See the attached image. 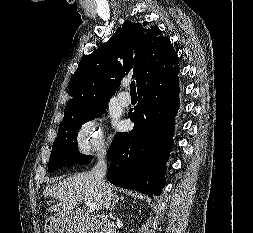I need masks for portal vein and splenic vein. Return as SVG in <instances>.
<instances>
[{"label": "portal vein and splenic vein", "instance_id": "1", "mask_svg": "<svg viewBox=\"0 0 253 233\" xmlns=\"http://www.w3.org/2000/svg\"><path fill=\"white\" fill-rule=\"evenodd\" d=\"M84 203H85V206L88 207V209H89L90 211H95V210H97L96 204L91 203V202H89V201H84Z\"/></svg>", "mask_w": 253, "mask_h": 233}]
</instances>
